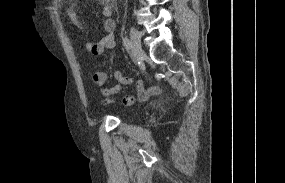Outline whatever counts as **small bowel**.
I'll return each mask as SVG.
<instances>
[{"mask_svg":"<svg viewBox=\"0 0 285 183\" xmlns=\"http://www.w3.org/2000/svg\"><path fill=\"white\" fill-rule=\"evenodd\" d=\"M102 6V13L104 16L103 28L105 31V35L97 42H88L86 43L87 51L92 55H100L107 49H113L116 46L115 43V22L111 18L112 9H113V0H99ZM66 15L70 18L71 23L74 27L79 30H82V24L78 20L74 9L72 6H68L65 10ZM116 78L124 84H128L131 82L129 78L123 77L119 72H116ZM107 80V74L102 71H95L92 74V81L99 87V92L103 96L102 104L109 105L112 102V97L119 93L121 86L119 84L113 85L111 87H105V82ZM163 89L160 87H151L149 89H145L142 83H138L137 85V94L141 100H145L148 98V95L161 94ZM142 96H145L143 99ZM128 99V102H125V99ZM134 102L133 96H125L124 103L130 105Z\"/></svg>","mask_w":285,"mask_h":183,"instance_id":"c3829d8e","label":"small bowel"}]
</instances>
